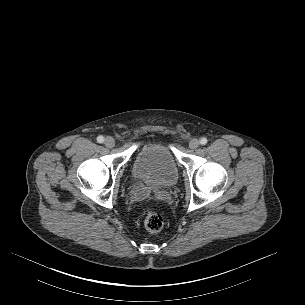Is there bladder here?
Listing matches in <instances>:
<instances>
[{"instance_id":"bladder-1","label":"bladder","mask_w":305,"mask_h":305,"mask_svg":"<svg viewBox=\"0 0 305 305\" xmlns=\"http://www.w3.org/2000/svg\"><path fill=\"white\" fill-rule=\"evenodd\" d=\"M132 173L137 182L151 190L171 188L179 178L175 158L162 141L147 142L138 149Z\"/></svg>"}]
</instances>
